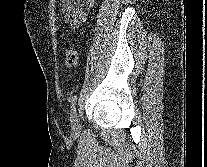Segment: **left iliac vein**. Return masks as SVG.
<instances>
[{"instance_id": "4c4485c4", "label": "left iliac vein", "mask_w": 207, "mask_h": 167, "mask_svg": "<svg viewBox=\"0 0 207 167\" xmlns=\"http://www.w3.org/2000/svg\"><path fill=\"white\" fill-rule=\"evenodd\" d=\"M70 121H71V129L73 134H78L80 131V123H79L78 113L76 110L72 111Z\"/></svg>"}]
</instances>
